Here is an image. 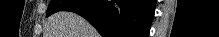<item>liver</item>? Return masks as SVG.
I'll return each mask as SVG.
<instances>
[{"mask_svg":"<svg viewBox=\"0 0 219 37\" xmlns=\"http://www.w3.org/2000/svg\"><path fill=\"white\" fill-rule=\"evenodd\" d=\"M45 37H99L95 29L81 16L61 11L48 19Z\"/></svg>","mask_w":219,"mask_h":37,"instance_id":"1","label":"liver"}]
</instances>
